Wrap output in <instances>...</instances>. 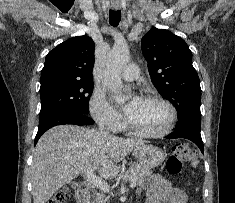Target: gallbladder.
Instances as JSON below:
<instances>
[{"label":"gallbladder","mask_w":235,"mask_h":203,"mask_svg":"<svg viewBox=\"0 0 235 203\" xmlns=\"http://www.w3.org/2000/svg\"><path fill=\"white\" fill-rule=\"evenodd\" d=\"M70 184H71V186H72L73 188H76V187L79 186L76 182H71Z\"/></svg>","instance_id":"1"}]
</instances>
